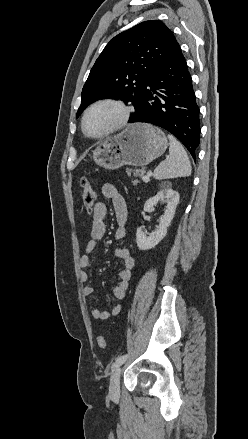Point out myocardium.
Wrapping results in <instances>:
<instances>
[{
    "instance_id": "myocardium-1",
    "label": "myocardium",
    "mask_w": 248,
    "mask_h": 439,
    "mask_svg": "<svg viewBox=\"0 0 248 439\" xmlns=\"http://www.w3.org/2000/svg\"><path fill=\"white\" fill-rule=\"evenodd\" d=\"M100 105H113L117 107L120 111V118L118 122L115 125H113L111 128L107 129L106 131L100 134L92 135L89 134L86 130V118L94 108ZM130 117H131V108L125 102L116 98H102L96 100L85 109L81 119V129L85 136L91 139H101L123 129L128 124Z\"/></svg>"
}]
</instances>
